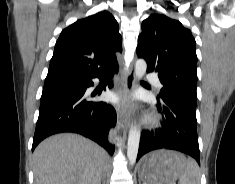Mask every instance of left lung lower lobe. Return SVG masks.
<instances>
[{
    "instance_id": "obj_1",
    "label": "left lung lower lobe",
    "mask_w": 235,
    "mask_h": 184,
    "mask_svg": "<svg viewBox=\"0 0 235 184\" xmlns=\"http://www.w3.org/2000/svg\"><path fill=\"white\" fill-rule=\"evenodd\" d=\"M157 108L164 116L163 127L155 135L141 134L137 161L152 150L171 149L190 155L200 164L196 106L169 95L157 99Z\"/></svg>"
}]
</instances>
